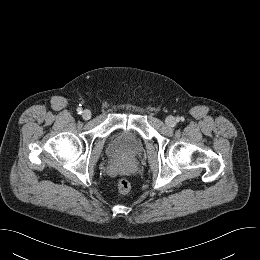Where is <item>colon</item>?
Wrapping results in <instances>:
<instances>
[{
	"instance_id": "colon-1",
	"label": "colon",
	"mask_w": 260,
	"mask_h": 260,
	"mask_svg": "<svg viewBox=\"0 0 260 260\" xmlns=\"http://www.w3.org/2000/svg\"><path fill=\"white\" fill-rule=\"evenodd\" d=\"M116 188H117V191H118L119 194L125 195V194H128L130 192L131 184L127 179L122 178V179L118 180Z\"/></svg>"
}]
</instances>
